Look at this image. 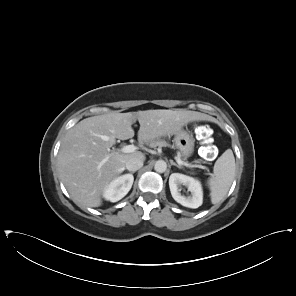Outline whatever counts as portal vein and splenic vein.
I'll return each mask as SVG.
<instances>
[{"instance_id":"portal-vein-and-splenic-vein-1","label":"portal vein and splenic vein","mask_w":296,"mask_h":296,"mask_svg":"<svg viewBox=\"0 0 296 296\" xmlns=\"http://www.w3.org/2000/svg\"><path fill=\"white\" fill-rule=\"evenodd\" d=\"M136 149H137V147L134 145H126L123 148H121L120 151L122 153H132V152H135ZM106 160H107V158L104 161H106ZM176 162L181 166L191 167L190 164L183 162L180 158H177V157H176Z\"/></svg>"}]
</instances>
